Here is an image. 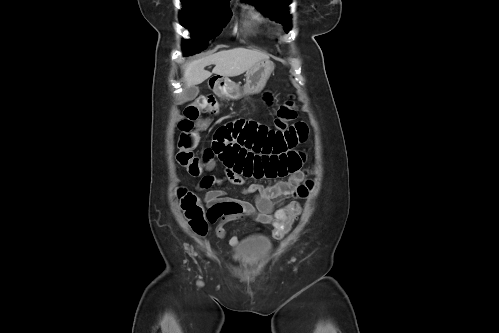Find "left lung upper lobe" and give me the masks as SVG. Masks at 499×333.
Segmentation results:
<instances>
[{"instance_id":"obj_1","label":"left lung upper lobe","mask_w":499,"mask_h":333,"mask_svg":"<svg viewBox=\"0 0 499 333\" xmlns=\"http://www.w3.org/2000/svg\"><path fill=\"white\" fill-rule=\"evenodd\" d=\"M254 4L262 13L266 14L276 22L282 23L286 32L291 29L290 16L287 8L291 0H246Z\"/></svg>"}]
</instances>
